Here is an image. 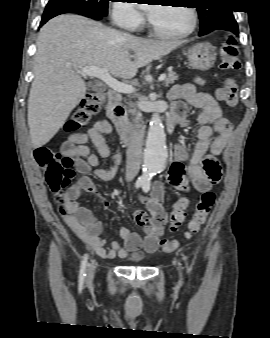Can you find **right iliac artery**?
Instances as JSON below:
<instances>
[{"mask_svg": "<svg viewBox=\"0 0 270 338\" xmlns=\"http://www.w3.org/2000/svg\"><path fill=\"white\" fill-rule=\"evenodd\" d=\"M144 184H145L144 182L137 181V182L135 183V187H136V189H138V188H140V187H143ZM87 259H88V256L85 255V256H84V259H83V261H82V263H81V269H80V274H79V283H80V284H83L84 278H85V276H86L85 271H86V266H87Z\"/></svg>", "mask_w": 270, "mask_h": 338, "instance_id": "1", "label": "right iliac artery"}]
</instances>
